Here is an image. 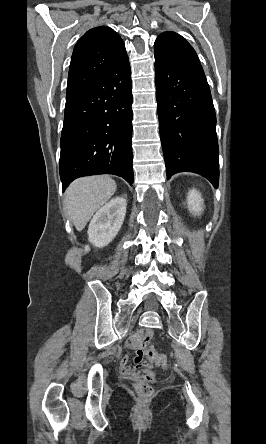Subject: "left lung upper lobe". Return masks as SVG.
<instances>
[{"mask_svg":"<svg viewBox=\"0 0 266 444\" xmlns=\"http://www.w3.org/2000/svg\"><path fill=\"white\" fill-rule=\"evenodd\" d=\"M154 56L182 69L203 70L193 47L175 32H164L155 41Z\"/></svg>","mask_w":266,"mask_h":444,"instance_id":"obj_1","label":"left lung upper lobe"}]
</instances>
